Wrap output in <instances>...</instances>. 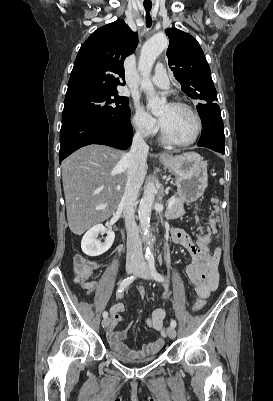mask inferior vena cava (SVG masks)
Returning <instances> with one entry per match:
<instances>
[{"label":"inferior vena cava","instance_id":"obj_1","mask_svg":"<svg viewBox=\"0 0 273 401\" xmlns=\"http://www.w3.org/2000/svg\"><path fill=\"white\" fill-rule=\"evenodd\" d=\"M149 150L141 130H137L133 136V142L130 152L125 154L127 162V182L123 196L120 201V207L123 209L125 227L127 231V259H143L142 243L138 233V227L135 223V205L139 188H141L146 170V158Z\"/></svg>","mask_w":273,"mask_h":401}]
</instances>
